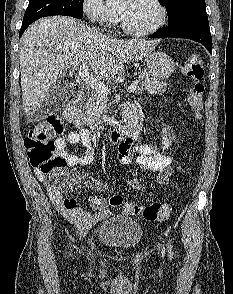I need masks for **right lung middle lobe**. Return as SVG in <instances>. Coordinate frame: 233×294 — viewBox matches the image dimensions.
<instances>
[{"label": "right lung middle lobe", "instance_id": "dd1d6c3e", "mask_svg": "<svg viewBox=\"0 0 233 294\" xmlns=\"http://www.w3.org/2000/svg\"><path fill=\"white\" fill-rule=\"evenodd\" d=\"M52 15L83 17V0H29L23 24Z\"/></svg>", "mask_w": 233, "mask_h": 294}]
</instances>
